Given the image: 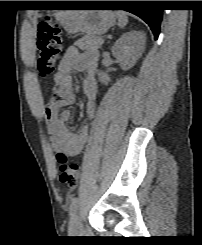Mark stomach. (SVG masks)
Returning a JSON list of instances; mask_svg holds the SVG:
<instances>
[{
	"label": "stomach",
	"instance_id": "1",
	"mask_svg": "<svg viewBox=\"0 0 202 245\" xmlns=\"http://www.w3.org/2000/svg\"><path fill=\"white\" fill-rule=\"evenodd\" d=\"M54 16L70 34L84 32L98 36L116 23V15L109 10L66 11L55 13Z\"/></svg>",
	"mask_w": 202,
	"mask_h": 245
}]
</instances>
